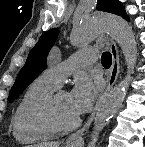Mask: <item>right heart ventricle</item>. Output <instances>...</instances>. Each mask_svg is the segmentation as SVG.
<instances>
[{
    "instance_id": "obj_1",
    "label": "right heart ventricle",
    "mask_w": 145,
    "mask_h": 147,
    "mask_svg": "<svg viewBox=\"0 0 145 147\" xmlns=\"http://www.w3.org/2000/svg\"><path fill=\"white\" fill-rule=\"evenodd\" d=\"M59 85L41 74L22 95L13 116V133L23 143H36L51 139L58 130L47 119L43 104Z\"/></svg>"
}]
</instances>
